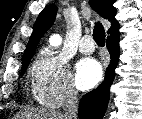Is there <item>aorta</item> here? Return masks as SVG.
Listing matches in <instances>:
<instances>
[{
	"instance_id": "1",
	"label": "aorta",
	"mask_w": 142,
	"mask_h": 119,
	"mask_svg": "<svg viewBox=\"0 0 142 119\" xmlns=\"http://www.w3.org/2000/svg\"><path fill=\"white\" fill-rule=\"evenodd\" d=\"M50 44L53 46H58L61 43V38L58 35H54L50 38Z\"/></svg>"
}]
</instances>
